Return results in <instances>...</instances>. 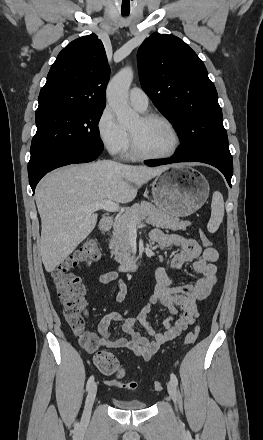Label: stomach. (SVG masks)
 Masks as SVG:
<instances>
[{"mask_svg":"<svg viewBox=\"0 0 263 440\" xmlns=\"http://www.w3.org/2000/svg\"><path fill=\"white\" fill-rule=\"evenodd\" d=\"M209 183L197 170L173 166L153 182V201L163 212L174 217H186L206 202Z\"/></svg>","mask_w":263,"mask_h":440,"instance_id":"1","label":"stomach"}]
</instances>
